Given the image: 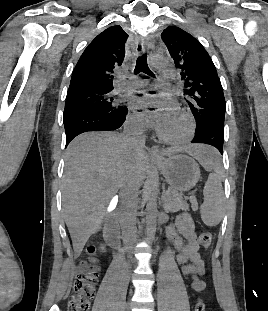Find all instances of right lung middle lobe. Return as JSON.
<instances>
[{
    "mask_svg": "<svg viewBox=\"0 0 268 311\" xmlns=\"http://www.w3.org/2000/svg\"><path fill=\"white\" fill-rule=\"evenodd\" d=\"M112 89L94 87H76L67 92L63 118L77 109H85L104 114H114L122 106L116 97L111 95Z\"/></svg>",
    "mask_w": 268,
    "mask_h": 311,
    "instance_id": "obj_1",
    "label": "right lung middle lobe"
}]
</instances>
